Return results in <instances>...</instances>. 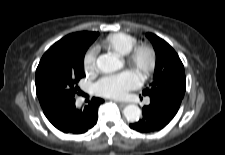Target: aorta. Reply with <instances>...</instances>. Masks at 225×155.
Masks as SVG:
<instances>
[{
	"mask_svg": "<svg viewBox=\"0 0 225 155\" xmlns=\"http://www.w3.org/2000/svg\"><path fill=\"white\" fill-rule=\"evenodd\" d=\"M98 69L103 73H112L121 69V60L113 54L100 55L96 61ZM125 118L129 122H137L141 117V109L134 104L127 105L123 110Z\"/></svg>",
	"mask_w": 225,
	"mask_h": 155,
	"instance_id": "obj_1",
	"label": "aorta"
}]
</instances>
